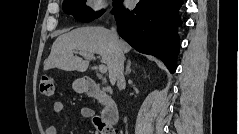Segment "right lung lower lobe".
I'll list each match as a JSON object with an SVG mask.
<instances>
[{
    "instance_id": "98d812e1",
    "label": "right lung lower lobe",
    "mask_w": 239,
    "mask_h": 134,
    "mask_svg": "<svg viewBox=\"0 0 239 134\" xmlns=\"http://www.w3.org/2000/svg\"><path fill=\"white\" fill-rule=\"evenodd\" d=\"M119 0L113 13L119 35L139 52L160 58L169 71L176 70L179 37L176 28L181 0H140L134 10Z\"/></svg>"
}]
</instances>
